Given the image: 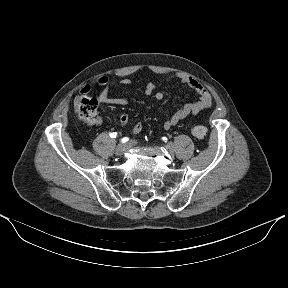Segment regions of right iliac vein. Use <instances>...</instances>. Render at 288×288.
<instances>
[{
	"label": "right iliac vein",
	"instance_id": "obj_1",
	"mask_svg": "<svg viewBox=\"0 0 288 288\" xmlns=\"http://www.w3.org/2000/svg\"><path fill=\"white\" fill-rule=\"evenodd\" d=\"M126 151V145L125 144H119L115 148V154L116 155H122Z\"/></svg>",
	"mask_w": 288,
	"mask_h": 288
}]
</instances>
